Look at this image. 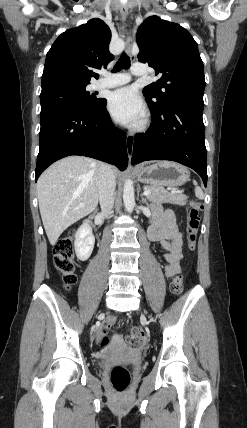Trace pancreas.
Segmentation results:
<instances>
[{
  "label": "pancreas",
  "mask_w": 247,
  "mask_h": 428,
  "mask_svg": "<svg viewBox=\"0 0 247 428\" xmlns=\"http://www.w3.org/2000/svg\"><path fill=\"white\" fill-rule=\"evenodd\" d=\"M145 189L150 190L151 194L148 199L156 203H171L184 206L187 202V196L184 194L169 193L162 186H145Z\"/></svg>",
  "instance_id": "1"
}]
</instances>
